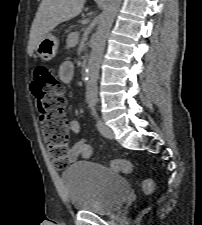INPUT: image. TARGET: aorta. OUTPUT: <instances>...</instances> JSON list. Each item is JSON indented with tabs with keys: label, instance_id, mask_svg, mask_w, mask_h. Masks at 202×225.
I'll list each match as a JSON object with an SVG mask.
<instances>
[{
	"label": "aorta",
	"instance_id": "762f6f07",
	"mask_svg": "<svg viewBox=\"0 0 202 225\" xmlns=\"http://www.w3.org/2000/svg\"><path fill=\"white\" fill-rule=\"evenodd\" d=\"M120 3L121 0H105L103 11L99 16V23L86 69V100L89 103H95L97 101V80L100 63L105 43Z\"/></svg>",
	"mask_w": 202,
	"mask_h": 225
}]
</instances>
